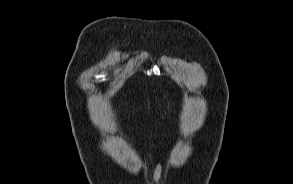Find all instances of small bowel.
Wrapping results in <instances>:
<instances>
[{"mask_svg":"<svg viewBox=\"0 0 293 184\" xmlns=\"http://www.w3.org/2000/svg\"><path fill=\"white\" fill-rule=\"evenodd\" d=\"M162 163L158 162L153 169V182L157 183L160 179L161 173H162Z\"/></svg>","mask_w":293,"mask_h":184,"instance_id":"small-bowel-1","label":"small bowel"}]
</instances>
